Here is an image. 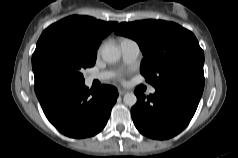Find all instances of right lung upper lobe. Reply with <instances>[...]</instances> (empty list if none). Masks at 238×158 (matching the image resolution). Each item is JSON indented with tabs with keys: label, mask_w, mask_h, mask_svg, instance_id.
Here are the masks:
<instances>
[{
	"label": "right lung upper lobe",
	"mask_w": 238,
	"mask_h": 158,
	"mask_svg": "<svg viewBox=\"0 0 238 158\" xmlns=\"http://www.w3.org/2000/svg\"><path fill=\"white\" fill-rule=\"evenodd\" d=\"M117 24V22H105L89 16L73 15L52 24L46 30L78 38L89 49L96 51L101 40L111 33Z\"/></svg>",
	"instance_id": "obj_1"
}]
</instances>
